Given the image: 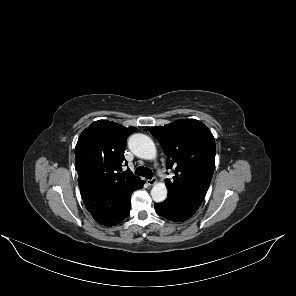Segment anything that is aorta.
<instances>
[{
    "mask_svg": "<svg viewBox=\"0 0 296 296\" xmlns=\"http://www.w3.org/2000/svg\"><path fill=\"white\" fill-rule=\"evenodd\" d=\"M130 150L139 158L154 160L156 147L150 137L142 133L133 134L128 141ZM151 197L157 202H163L167 197V187L164 183H156L151 189Z\"/></svg>",
    "mask_w": 296,
    "mask_h": 296,
    "instance_id": "762f6f07",
    "label": "aorta"
}]
</instances>
